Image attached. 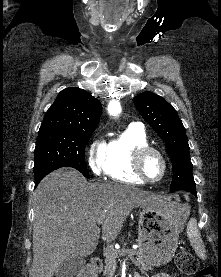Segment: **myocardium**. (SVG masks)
I'll use <instances>...</instances> for the list:
<instances>
[{
  "mask_svg": "<svg viewBox=\"0 0 221 277\" xmlns=\"http://www.w3.org/2000/svg\"><path fill=\"white\" fill-rule=\"evenodd\" d=\"M149 154H155L158 156L162 163V173L159 178L157 179H149L144 171H143V162L144 159L149 155ZM132 169L134 173L137 175V177L142 180L145 183H158L160 182L166 175L167 173V161L164 156V154L156 147L151 146V145H145L137 148L133 154L132 157Z\"/></svg>",
  "mask_w": 221,
  "mask_h": 277,
  "instance_id": "1",
  "label": "myocardium"
}]
</instances>
